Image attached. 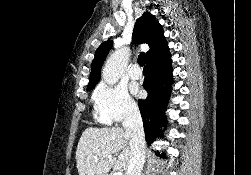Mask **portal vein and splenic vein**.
I'll list each match as a JSON object with an SVG mask.
<instances>
[{
  "mask_svg": "<svg viewBox=\"0 0 251 175\" xmlns=\"http://www.w3.org/2000/svg\"><path fill=\"white\" fill-rule=\"evenodd\" d=\"M95 161H98L97 157H95ZM112 175H123L121 169H116V171H114V173H112Z\"/></svg>",
  "mask_w": 251,
  "mask_h": 175,
  "instance_id": "obj_1",
  "label": "portal vein and splenic vein"
}]
</instances>
